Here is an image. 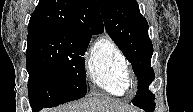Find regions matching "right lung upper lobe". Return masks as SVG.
I'll return each instance as SVG.
<instances>
[{"instance_id": "right-lung-upper-lobe-1", "label": "right lung upper lobe", "mask_w": 193, "mask_h": 112, "mask_svg": "<svg viewBox=\"0 0 193 112\" xmlns=\"http://www.w3.org/2000/svg\"><path fill=\"white\" fill-rule=\"evenodd\" d=\"M52 30L80 34L104 31L96 0H40L28 24V33Z\"/></svg>"}]
</instances>
